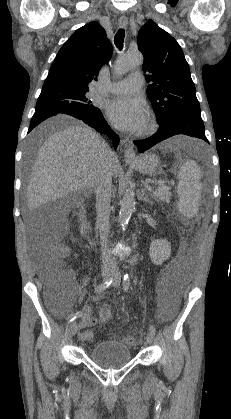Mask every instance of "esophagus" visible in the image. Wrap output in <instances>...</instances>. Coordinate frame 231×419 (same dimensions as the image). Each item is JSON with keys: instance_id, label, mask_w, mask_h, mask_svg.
<instances>
[{"instance_id": "34e87169", "label": "esophagus", "mask_w": 231, "mask_h": 419, "mask_svg": "<svg viewBox=\"0 0 231 419\" xmlns=\"http://www.w3.org/2000/svg\"><path fill=\"white\" fill-rule=\"evenodd\" d=\"M119 24L122 27H126L128 24V20L125 16L120 17ZM122 144H126L124 149V158L126 161H132L136 158L135 150L132 146L127 145V140H123Z\"/></svg>"}]
</instances>
